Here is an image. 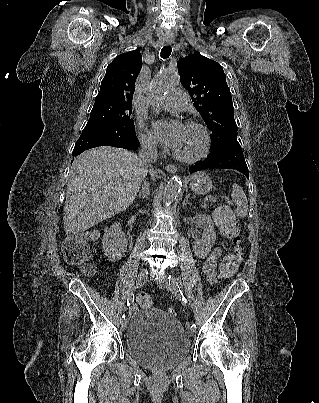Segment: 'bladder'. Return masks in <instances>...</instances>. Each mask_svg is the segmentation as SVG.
Instances as JSON below:
<instances>
[{
  "label": "bladder",
  "instance_id": "1",
  "mask_svg": "<svg viewBox=\"0 0 319 403\" xmlns=\"http://www.w3.org/2000/svg\"><path fill=\"white\" fill-rule=\"evenodd\" d=\"M128 354L144 368L170 370L190 353V340L180 321L151 308L140 309L131 318L125 335Z\"/></svg>",
  "mask_w": 319,
  "mask_h": 403
}]
</instances>
